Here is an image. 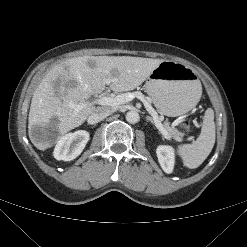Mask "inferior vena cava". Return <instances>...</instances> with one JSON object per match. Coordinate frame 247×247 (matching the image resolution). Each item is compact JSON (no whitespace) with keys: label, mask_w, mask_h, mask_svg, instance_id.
I'll use <instances>...</instances> for the list:
<instances>
[{"label":"inferior vena cava","mask_w":247,"mask_h":247,"mask_svg":"<svg viewBox=\"0 0 247 247\" xmlns=\"http://www.w3.org/2000/svg\"><path fill=\"white\" fill-rule=\"evenodd\" d=\"M114 109L111 107H98L90 116V119L93 123H98L102 121L107 116L114 113Z\"/></svg>","instance_id":"inferior-vena-cava-1"}]
</instances>
